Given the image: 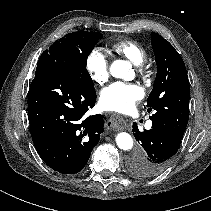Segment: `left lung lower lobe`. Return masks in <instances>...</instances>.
I'll return each instance as SVG.
<instances>
[{"label": "left lung lower lobe", "instance_id": "left-lung-lower-lobe-1", "mask_svg": "<svg viewBox=\"0 0 211 211\" xmlns=\"http://www.w3.org/2000/svg\"><path fill=\"white\" fill-rule=\"evenodd\" d=\"M132 131L141 146L129 159L132 174L150 178L162 173L178 151L183 136L164 124L154 122L152 128L144 132L133 123Z\"/></svg>", "mask_w": 211, "mask_h": 211}]
</instances>
